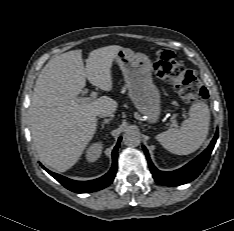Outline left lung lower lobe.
Listing matches in <instances>:
<instances>
[{
    "instance_id": "left-lung-lower-lobe-1",
    "label": "left lung lower lobe",
    "mask_w": 234,
    "mask_h": 231,
    "mask_svg": "<svg viewBox=\"0 0 234 231\" xmlns=\"http://www.w3.org/2000/svg\"><path fill=\"white\" fill-rule=\"evenodd\" d=\"M217 138L218 130L216 131V134L211 144L203 153H201L197 158H195L182 168L171 172H164L158 170L151 162L147 149L143 146V150L148 160L150 171L155 181L164 186H177L194 180L201 173L206 163L208 162Z\"/></svg>"
}]
</instances>
